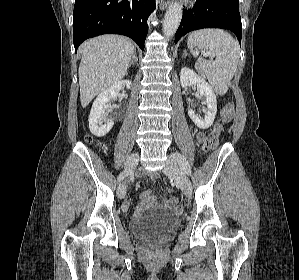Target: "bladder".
<instances>
[{
	"mask_svg": "<svg viewBox=\"0 0 299 280\" xmlns=\"http://www.w3.org/2000/svg\"><path fill=\"white\" fill-rule=\"evenodd\" d=\"M178 224V218L167 211H149L132 220L130 228L143 239L163 241L174 233Z\"/></svg>",
	"mask_w": 299,
	"mask_h": 280,
	"instance_id": "31cf9c89",
	"label": "bladder"
}]
</instances>
